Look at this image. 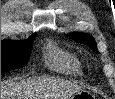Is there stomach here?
Returning a JSON list of instances; mask_svg holds the SVG:
<instances>
[{"mask_svg": "<svg viewBox=\"0 0 115 99\" xmlns=\"http://www.w3.org/2000/svg\"><path fill=\"white\" fill-rule=\"evenodd\" d=\"M90 98H94V96L89 91L80 90L72 94L69 99H90Z\"/></svg>", "mask_w": 115, "mask_h": 99, "instance_id": "1", "label": "stomach"}]
</instances>
